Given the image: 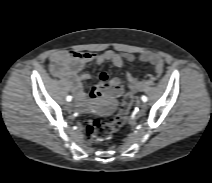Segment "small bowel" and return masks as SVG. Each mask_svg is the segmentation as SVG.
I'll return each mask as SVG.
<instances>
[{
  "label": "small bowel",
  "instance_id": "obj_1",
  "mask_svg": "<svg viewBox=\"0 0 212 183\" xmlns=\"http://www.w3.org/2000/svg\"><path fill=\"white\" fill-rule=\"evenodd\" d=\"M135 56L131 53H117L112 50L103 53H87L77 51H61L50 57V68L52 73L59 79L65 81L72 89L78 100V107L84 110L87 106V98L82 87V82L89 79L88 74H80L84 66L90 62L102 65L111 62L115 67L121 68L124 61L133 62ZM139 60L151 64L156 74L163 70V60L160 55L153 52H144ZM128 88L131 91H140L143 84L131 72L126 73ZM125 91V85L119 78H110L106 73H101L100 82L92 88L89 98L96 100L101 96H118Z\"/></svg>",
  "mask_w": 212,
  "mask_h": 183
}]
</instances>
